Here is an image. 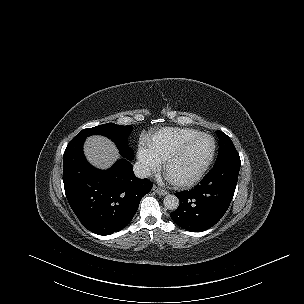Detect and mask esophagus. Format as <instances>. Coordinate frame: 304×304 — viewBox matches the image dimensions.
<instances>
[{
    "label": "esophagus",
    "instance_id": "esophagus-1",
    "mask_svg": "<svg viewBox=\"0 0 304 304\" xmlns=\"http://www.w3.org/2000/svg\"><path fill=\"white\" fill-rule=\"evenodd\" d=\"M152 190L160 196H165L168 194V192L166 190L161 189L160 187H158L156 185L153 186Z\"/></svg>",
    "mask_w": 304,
    "mask_h": 304
}]
</instances>
